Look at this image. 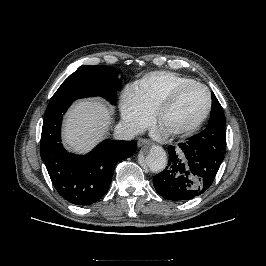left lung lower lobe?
I'll return each instance as SVG.
<instances>
[{
  "instance_id": "left-lung-lower-lobe-1",
  "label": "left lung lower lobe",
  "mask_w": 266,
  "mask_h": 266,
  "mask_svg": "<svg viewBox=\"0 0 266 266\" xmlns=\"http://www.w3.org/2000/svg\"><path fill=\"white\" fill-rule=\"evenodd\" d=\"M167 167L153 178L156 191L173 201H187L204 193L213 183L224 155H212L199 146H168Z\"/></svg>"
}]
</instances>
